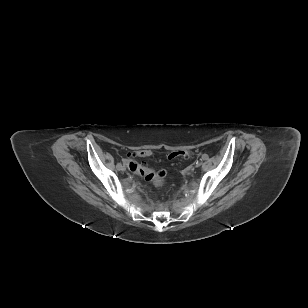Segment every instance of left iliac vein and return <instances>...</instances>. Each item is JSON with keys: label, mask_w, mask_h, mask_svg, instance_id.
<instances>
[{"label": "left iliac vein", "mask_w": 308, "mask_h": 308, "mask_svg": "<svg viewBox=\"0 0 308 308\" xmlns=\"http://www.w3.org/2000/svg\"><path fill=\"white\" fill-rule=\"evenodd\" d=\"M201 165V162H196L195 167H199Z\"/></svg>", "instance_id": "obj_1"}]
</instances>
